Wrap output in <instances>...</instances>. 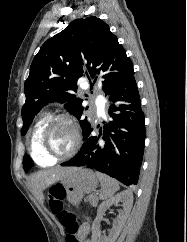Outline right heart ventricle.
I'll list each match as a JSON object with an SVG mask.
<instances>
[{"instance_id": "e07e8e85", "label": "right heart ventricle", "mask_w": 187, "mask_h": 242, "mask_svg": "<svg viewBox=\"0 0 187 242\" xmlns=\"http://www.w3.org/2000/svg\"><path fill=\"white\" fill-rule=\"evenodd\" d=\"M48 121V116L43 115L36 123L30 138V154L40 166L46 167L55 164V160L46 157L40 149L39 139L41 132Z\"/></svg>"}]
</instances>
